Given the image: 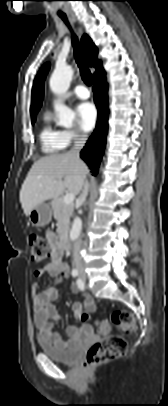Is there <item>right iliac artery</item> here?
<instances>
[{
	"label": "right iliac artery",
	"instance_id": "right-iliac-artery-1",
	"mask_svg": "<svg viewBox=\"0 0 168 406\" xmlns=\"http://www.w3.org/2000/svg\"><path fill=\"white\" fill-rule=\"evenodd\" d=\"M71 274H72L73 277L78 276V270H77V269H73L72 272H71Z\"/></svg>",
	"mask_w": 168,
	"mask_h": 406
}]
</instances>
